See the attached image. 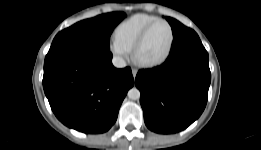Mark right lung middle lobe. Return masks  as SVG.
Segmentation results:
<instances>
[{"instance_id":"obj_1","label":"right lung middle lobe","mask_w":261,"mask_h":150,"mask_svg":"<svg viewBox=\"0 0 261 150\" xmlns=\"http://www.w3.org/2000/svg\"><path fill=\"white\" fill-rule=\"evenodd\" d=\"M125 16L126 14L123 12H112L80 21L59 32L54 38L50 50L65 46L110 50V35L114 27Z\"/></svg>"}]
</instances>
